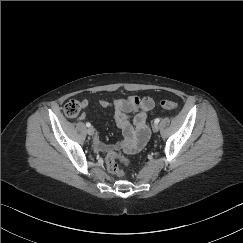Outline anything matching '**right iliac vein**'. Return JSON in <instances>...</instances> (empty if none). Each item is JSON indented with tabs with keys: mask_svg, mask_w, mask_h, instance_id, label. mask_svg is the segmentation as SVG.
I'll list each match as a JSON object with an SVG mask.
<instances>
[{
	"mask_svg": "<svg viewBox=\"0 0 243 243\" xmlns=\"http://www.w3.org/2000/svg\"><path fill=\"white\" fill-rule=\"evenodd\" d=\"M87 133H88V135L92 136L95 133V129L92 128V127H89L88 130H87Z\"/></svg>",
	"mask_w": 243,
	"mask_h": 243,
	"instance_id": "1",
	"label": "right iliac vein"
}]
</instances>
